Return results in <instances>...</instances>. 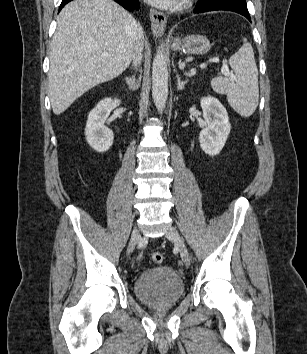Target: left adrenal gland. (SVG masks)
<instances>
[{
	"instance_id": "a2214340",
	"label": "left adrenal gland",
	"mask_w": 307,
	"mask_h": 354,
	"mask_svg": "<svg viewBox=\"0 0 307 354\" xmlns=\"http://www.w3.org/2000/svg\"><path fill=\"white\" fill-rule=\"evenodd\" d=\"M187 83H188V79H186L185 81H181L179 74H177V90L178 91L183 90Z\"/></svg>"
}]
</instances>
